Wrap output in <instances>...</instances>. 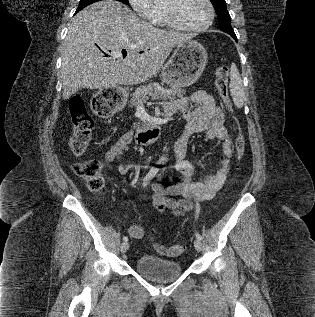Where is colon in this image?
<instances>
[{
    "instance_id": "1",
    "label": "colon",
    "mask_w": 315,
    "mask_h": 317,
    "mask_svg": "<svg viewBox=\"0 0 315 317\" xmlns=\"http://www.w3.org/2000/svg\"><path fill=\"white\" fill-rule=\"evenodd\" d=\"M228 82L229 66L220 65L216 70L215 85L226 108L231 111ZM116 98L117 95H103L102 90L99 91L93 99L95 113L101 117L109 116L112 113L110 102L116 101ZM69 112L72 122L70 149L73 155L80 157L86 153L92 139L94 121L80 97H74L70 101ZM235 153L238 162L241 161L245 153V138L240 130L235 140ZM72 168L86 182L91 191L100 192L103 189L104 175L100 161L89 159L76 162ZM155 247L161 254L169 257L179 256L184 251V246L181 244H175L170 247L155 244Z\"/></svg>"
}]
</instances>
